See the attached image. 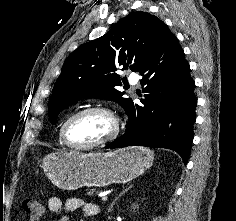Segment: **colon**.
<instances>
[{
  "instance_id": "colon-1",
  "label": "colon",
  "mask_w": 236,
  "mask_h": 221,
  "mask_svg": "<svg viewBox=\"0 0 236 221\" xmlns=\"http://www.w3.org/2000/svg\"><path fill=\"white\" fill-rule=\"evenodd\" d=\"M23 210L27 221H39L44 212V205L37 199L29 198L23 202Z\"/></svg>"
}]
</instances>
